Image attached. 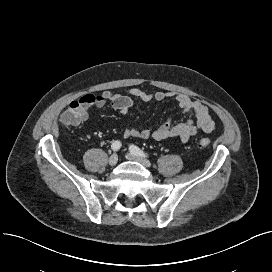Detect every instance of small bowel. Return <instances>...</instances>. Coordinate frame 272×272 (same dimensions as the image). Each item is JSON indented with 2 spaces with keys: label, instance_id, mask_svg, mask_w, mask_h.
<instances>
[{
  "label": "small bowel",
  "instance_id": "c3829d8e",
  "mask_svg": "<svg viewBox=\"0 0 272 272\" xmlns=\"http://www.w3.org/2000/svg\"><path fill=\"white\" fill-rule=\"evenodd\" d=\"M132 98L142 103H148L151 100L163 101L172 99L183 113L189 114V118L185 122L177 124L167 120L155 130L129 127L123 131V137L125 138L135 137L156 141L176 138L181 143H185L198 130L209 133L215 129V122L211 117L209 107L204 102L178 92L157 91L149 93L138 88L129 89L126 93L105 90L97 95H83L79 100L73 101L69 105L61 117V122L66 126H78L88 119L90 110L93 107L100 108L106 102H110L114 109L126 115L134 105Z\"/></svg>",
  "mask_w": 272,
  "mask_h": 272
}]
</instances>
